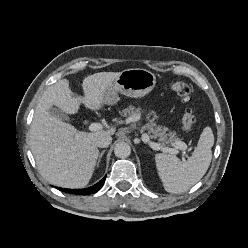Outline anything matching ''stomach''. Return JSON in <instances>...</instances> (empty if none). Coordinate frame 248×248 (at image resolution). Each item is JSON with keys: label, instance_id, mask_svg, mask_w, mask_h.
Listing matches in <instances>:
<instances>
[{"label": "stomach", "instance_id": "1", "mask_svg": "<svg viewBox=\"0 0 248 248\" xmlns=\"http://www.w3.org/2000/svg\"><path fill=\"white\" fill-rule=\"evenodd\" d=\"M155 84L156 76L149 70L141 68L123 70L105 90L104 104H116L119 101L118 93L134 98L143 97L153 90Z\"/></svg>", "mask_w": 248, "mask_h": 248}]
</instances>
